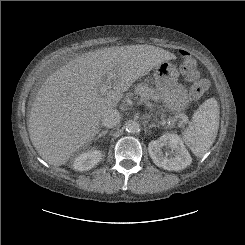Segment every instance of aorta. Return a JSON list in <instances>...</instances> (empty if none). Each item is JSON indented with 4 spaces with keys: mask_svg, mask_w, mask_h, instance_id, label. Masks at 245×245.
<instances>
[{
    "mask_svg": "<svg viewBox=\"0 0 245 245\" xmlns=\"http://www.w3.org/2000/svg\"><path fill=\"white\" fill-rule=\"evenodd\" d=\"M124 127L128 133H137L140 130L139 123L134 120L127 121Z\"/></svg>",
    "mask_w": 245,
    "mask_h": 245,
    "instance_id": "1",
    "label": "aorta"
}]
</instances>
